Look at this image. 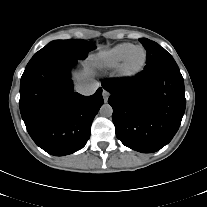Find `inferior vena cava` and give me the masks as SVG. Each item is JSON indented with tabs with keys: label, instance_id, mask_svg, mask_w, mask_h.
<instances>
[{
	"label": "inferior vena cava",
	"instance_id": "inferior-vena-cava-1",
	"mask_svg": "<svg viewBox=\"0 0 207 207\" xmlns=\"http://www.w3.org/2000/svg\"><path fill=\"white\" fill-rule=\"evenodd\" d=\"M98 88V82L92 79H85L83 81H80L76 87V92L82 94V95H92L95 93V91Z\"/></svg>",
	"mask_w": 207,
	"mask_h": 207
}]
</instances>
